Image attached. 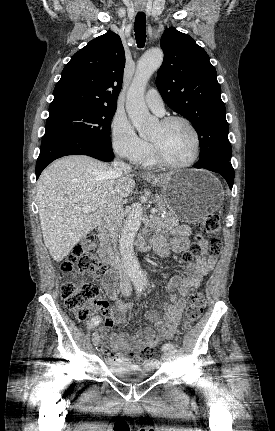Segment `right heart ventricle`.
<instances>
[{"mask_svg": "<svg viewBox=\"0 0 275 431\" xmlns=\"http://www.w3.org/2000/svg\"><path fill=\"white\" fill-rule=\"evenodd\" d=\"M144 166H153L155 164L150 152L140 161Z\"/></svg>", "mask_w": 275, "mask_h": 431, "instance_id": "obj_1", "label": "right heart ventricle"}]
</instances>
